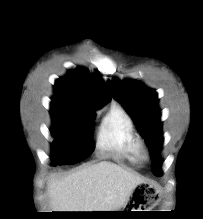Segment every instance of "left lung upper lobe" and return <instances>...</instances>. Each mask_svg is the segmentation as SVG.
Masks as SVG:
<instances>
[{
    "label": "left lung upper lobe",
    "mask_w": 203,
    "mask_h": 219,
    "mask_svg": "<svg viewBox=\"0 0 203 219\" xmlns=\"http://www.w3.org/2000/svg\"><path fill=\"white\" fill-rule=\"evenodd\" d=\"M108 85L110 93L123 105L136 123L140 135L145 139L151 154L152 172L158 176L161 174L158 155L163 135L157 93L132 80L113 79Z\"/></svg>",
    "instance_id": "5c2ea615"
}]
</instances>
